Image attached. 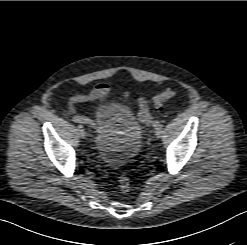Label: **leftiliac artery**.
Listing matches in <instances>:
<instances>
[{
	"label": "left iliac artery",
	"instance_id": "left-iliac-artery-1",
	"mask_svg": "<svg viewBox=\"0 0 247 245\" xmlns=\"http://www.w3.org/2000/svg\"><path fill=\"white\" fill-rule=\"evenodd\" d=\"M153 126H154L155 128H161V127H162V124H161V122H159V121H155V122L153 123Z\"/></svg>",
	"mask_w": 247,
	"mask_h": 245
}]
</instances>
